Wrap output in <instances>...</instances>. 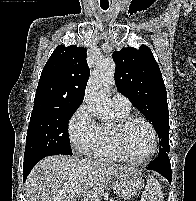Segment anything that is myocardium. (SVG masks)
I'll return each instance as SVG.
<instances>
[{"label": "myocardium", "mask_w": 196, "mask_h": 201, "mask_svg": "<svg viewBox=\"0 0 196 201\" xmlns=\"http://www.w3.org/2000/svg\"><path fill=\"white\" fill-rule=\"evenodd\" d=\"M135 122H142L146 124L152 134V148L150 152L144 158L141 159L133 158L126 147V131ZM114 138L117 148L124 157V159L134 165H143L148 163L153 158L158 149V133L156 131V128L154 127L151 121L142 116H128L119 119L114 125Z\"/></svg>", "instance_id": "f54148a6"}]
</instances>
